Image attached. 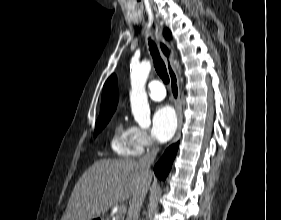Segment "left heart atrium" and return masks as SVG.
I'll use <instances>...</instances> for the list:
<instances>
[{"instance_id": "left-heart-atrium-1", "label": "left heart atrium", "mask_w": 281, "mask_h": 220, "mask_svg": "<svg viewBox=\"0 0 281 220\" xmlns=\"http://www.w3.org/2000/svg\"><path fill=\"white\" fill-rule=\"evenodd\" d=\"M177 128V118L173 109L169 106L159 107L152 119V135L159 142L168 141Z\"/></svg>"}]
</instances>
